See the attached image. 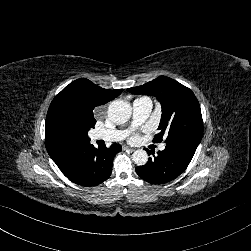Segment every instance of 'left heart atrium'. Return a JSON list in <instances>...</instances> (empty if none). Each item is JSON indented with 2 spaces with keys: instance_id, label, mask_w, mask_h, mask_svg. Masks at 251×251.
<instances>
[{
  "instance_id": "left-heart-atrium-1",
  "label": "left heart atrium",
  "mask_w": 251,
  "mask_h": 251,
  "mask_svg": "<svg viewBox=\"0 0 251 251\" xmlns=\"http://www.w3.org/2000/svg\"><path fill=\"white\" fill-rule=\"evenodd\" d=\"M140 137V132L139 131H131L128 134V138L131 141L138 140Z\"/></svg>"
}]
</instances>
